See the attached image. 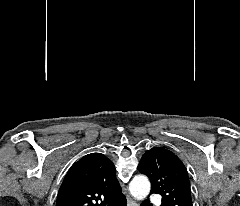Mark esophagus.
Returning <instances> with one entry per match:
<instances>
[{"mask_svg": "<svg viewBox=\"0 0 240 206\" xmlns=\"http://www.w3.org/2000/svg\"><path fill=\"white\" fill-rule=\"evenodd\" d=\"M127 206H139V205L132 197L127 195Z\"/></svg>", "mask_w": 240, "mask_h": 206, "instance_id": "obj_1", "label": "esophagus"}]
</instances>
